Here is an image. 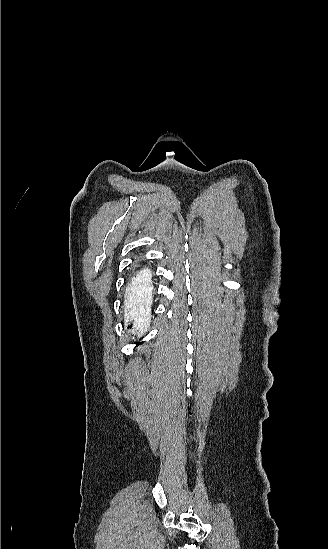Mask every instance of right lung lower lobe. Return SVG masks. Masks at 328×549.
<instances>
[{"label": "right lung lower lobe", "instance_id": "1", "mask_svg": "<svg viewBox=\"0 0 328 549\" xmlns=\"http://www.w3.org/2000/svg\"><path fill=\"white\" fill-rule=\"evenodd\" d=\"M130 286L138 294H146L149 291L150 286L149 271L147 269H142L138 271L133 277H131Z\"/></svg>", "mask_w": 328, "mask_h": 549}]
</instances>
